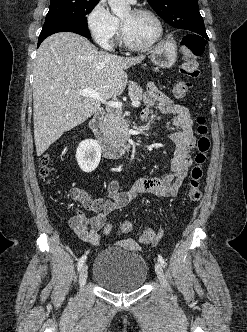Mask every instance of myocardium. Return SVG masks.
<instances>
[{
	"label": "myocardium",
	"mask_w": 247,
	"mask_h": 332,
	"mask_svg": "<svg viewBox=\"0 0 247 332\" xmlns=\"http://www.w3.org/2000/svg\"><path fill=\"white\" fill-rule=\"evenodd\" d=\"M132 12L135 14H145V15L151 16L157 23L158 33H157L156 37L153 40H151L150 42L145 43V44H136V43L132 42L131 39L129 38L126 27H125L123 21L121 20V39H122L124 45L132 50H137V51L147 50V49L153 47L156 43H158L164 35V26H163L162 20L158 16L157 13H155L154 11H152L150 9L134 8V9H132Z\"/></svg>",
	"instance_id": "f54148a6"
}]
</instances>
